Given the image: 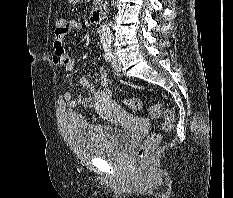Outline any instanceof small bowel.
Returning <instances> with one entry per match:
<instances>
[{"instance_id":"c3829d8e","label":"small bowel","mask_w":233,"mask_h":198,"mask_svg":"<svg viewBox=\"0 0 233 198\" xmlns=\"http://www.w3.org/2000/svg\"><path fill=\"white\" fill-rule=\"evenodd\" d=\"M82 28L80 22L76 20L65 21L63 30L55 31L53 35V63L55 66L62 68L66 73L73 72L76 61L68 55L64 49V40L72 31H78ZM99 87H96L87 77H80L79 84L87 91V96L81 94L73 95L70 91L64 93V100L71 108L97 107L103 115H113L120 112V109L112 102L111 92L107 88L109 78L106 70L99 68Z\"/></svg>"}]
</instances>
